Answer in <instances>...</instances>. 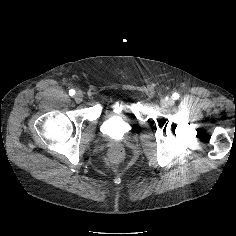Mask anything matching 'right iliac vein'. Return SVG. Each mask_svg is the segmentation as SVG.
I'll return each mask as SVG.
<instances>
[{"mask_svg":"<svg viewBox=\"0 0 236 236\" xmlns=\"http://www.w3.org/2000/svg\"><path fill=\"white\" fill-rule=\"evenodd\" d=\"M74 99L77 103L82 102L83 100V93L81 91H78L76 95L74 96Z\"/></svg>","mask_w":236,"mask_h":236,"instance_id":"obj_1","label":"right iliac vein"}]
</instances>
